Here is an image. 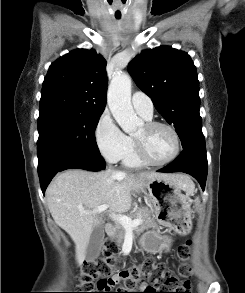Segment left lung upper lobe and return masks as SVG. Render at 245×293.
I'll use <instances>...</instances> for the list:
<instances>
[{
  "instance_id": "5c2ea615",
  "label": "left lung upper lobe",
  "mask_w": 245,
  "mask_h": 293,
  "mask_svg": "<svg viewBox=\"0 0 245 293\" xmlns=\"http://www.w3.org/2000/svg\"><path fill=\"white\" fill-rule=\"evenodd\" d=\"M139 88L174 125L183 149L206 151L199 114V81L190 56L169 46L143 51L128 65Z\"/></svg>"
}]
</instances>
